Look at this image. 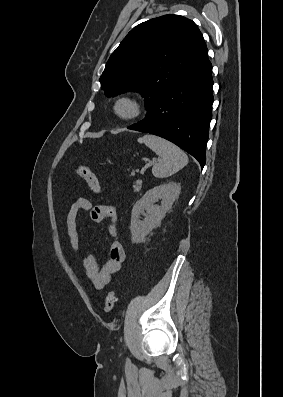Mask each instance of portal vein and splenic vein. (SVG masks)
Returning <instances> with one entry per match:
<instances>
[{"label": "portal vein and splenic vein", "instance_id": "obj_1", "mask_svg": "<svg viewBox=\"0 0 283 397\" xmlns=\"http://www.w3.org/2000/svg\"><path fill=\"white\" fill-rule=\"evenodd\" d=\"M154 164H155V161H152V162L146 164V165L141 169L140 174H144V172L146 171V169H147L148 167L154 165Z\"/></svg>", "mask_w": 283, "mask_h": 397}]
</instances>
